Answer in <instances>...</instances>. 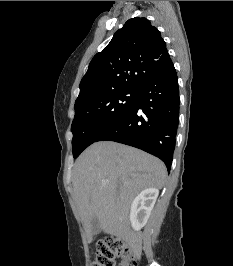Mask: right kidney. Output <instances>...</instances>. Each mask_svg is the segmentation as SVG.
I'll list each match as a JSON object with an SVG mask.
<instances>
[{
    "mask_svg": "<svg viewBox=\"0 0 233 266\" xmlns=\"http://www.w3.org/2000/svg\"><path fill=\"white\" fill-rule=\"evenodd\" d=\"M158 194V189L146 188L135 197L130 211V221L134 230L139 231L146 224Z\"/></svg>",
    "mask_w": 233,
    "mask_h": 266,
    "instance_id": "ca27d5eb",
    "label": "right kidney"
}]
</instances>
